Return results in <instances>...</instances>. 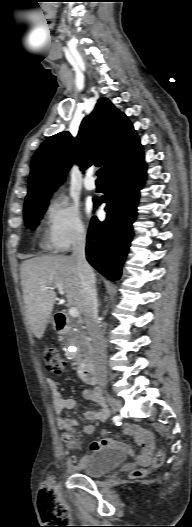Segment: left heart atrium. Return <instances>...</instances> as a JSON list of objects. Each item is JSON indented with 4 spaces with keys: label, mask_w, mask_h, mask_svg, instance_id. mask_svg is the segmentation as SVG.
I'll return each mask as SVG.
<instances>
[{
    "label": "left heart atrium",
    "mask_w": 192,
    "mask_h": 527,
    "mask_svg": "<svg viewBox=\"0 0 192 527\" xmlns=\"http://www.w3.org/2000/svg\"><path fill=\"white\" fill-rule=\"evenodd\" d=\"M86 211H87V213H90L91 207L89 205L86 207Z\"/></svg>",
    "instance_id": "left-heart-atrium-1"
}]
</instances>
